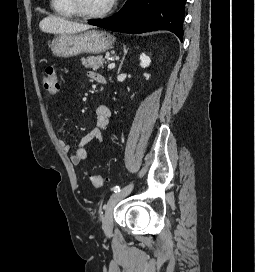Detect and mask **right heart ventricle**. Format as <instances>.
I'll return each mask as SVG.
<instances>
[{
	"mask_svg": "<svg viewBox=\"0 0 255 272\" xmlns=\"http://www.w3.org/2000/svg\"><path fill=\"white\" fill-rule=\"evenodd\" d=\"M51 9L59 16L73 18L76 17V12L72 9L69 0H51Z\"/></svg>",
	"mask_w": 255,
	"mask_h": 272,
	"instance_id": "right-heart-ventricle-1",
	"label": "right heart ventricle"
}]
</instances>
